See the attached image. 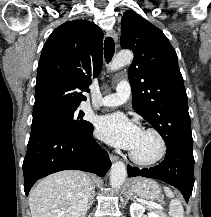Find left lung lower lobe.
Instances as JSON below:
<instances>
[{"label": "left lung lower lobe", "mask_w": 211, "mask_h": 217, "mask_svg": "<svg viewBox=\"0 0 211 217\" xmlns=\"http://www.w3.org/2000/svg\"><path fill=\"white\" fill-rule=\"evenodd\" d=\"M129 177L143 176L159 179L181 191L188 202L194 185V157L192 147L178 143L167 146L165 159L149 169L127 167Z\"/></svg>", "instance_id": "left-lung-lower-lobe-1"}]
</instances>
